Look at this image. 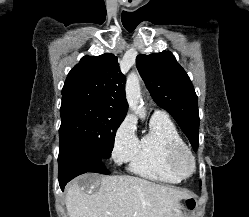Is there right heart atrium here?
Segmentation results:
<instances>
[{"mask_svg":"<svg viewBox=\"0 0 249 217\" xmlns=\"http://www.w3.org/2000/svg\"><path fill=\"white\" fill-rule=\"evenodd\" d=\"M138 144L136 124L131 116L125 117L117 127L112 146V157L122 165L131 160Z\"/></svg>","mask_w":249,"mask_h":217,"instance_id":"obj_1","label":"right heart atrium"}]
</instances>
